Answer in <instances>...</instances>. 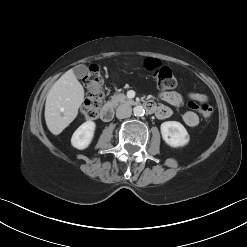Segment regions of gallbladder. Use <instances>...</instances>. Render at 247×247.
<instances>
[{"label":"gallbladder","instance_id":"obj_1","mask_svg":"<svg viewBox=\"0 0 247 247\" xmlns=\"http://www.w3.org/2000/svg\"><path fill=\"white\" fill-rule=\"evenodd\" d=\"M73 72L77 78H81L88 72V70L85 65H78L73 69Z\"/></svg>","mask_w":247,"mask_h":247}]
</instances>
